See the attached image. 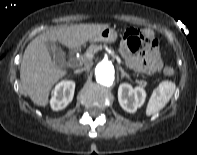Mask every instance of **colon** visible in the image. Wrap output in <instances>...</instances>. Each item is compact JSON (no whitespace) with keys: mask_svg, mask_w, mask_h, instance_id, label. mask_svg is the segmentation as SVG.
<instances>
[{"mask_svg":"<svg viewBox=\"0 0 197 155\" xmlns=\"http://www.w3.org/2000/svg\"><path fill=\"white\" fill-rule=\"evenodd\" d=\"M124 37L131 51H141L146 46L157 45V42L153 36L143 34L141 31L135 28L127 29ZM164 73L170 76L174 73V69L171 67H167L165 68Z\"/></svg>","mask_w":197,"mask_h":155,"instance_id":"5ec220e1","label":"colon"}]
</instances>
